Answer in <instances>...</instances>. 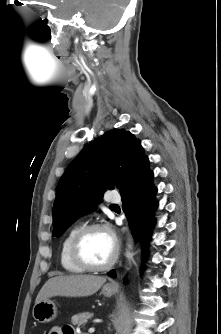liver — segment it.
Wrapping results in <instances>:
<instances>
[{"label": "liver", "mask_w": 221, "mask_h": 334, "mask_svg": "<svg viewBox=\"0 0 221 334\" xmlns=\"http://www.w3.org/2000/svg\"><path fill=\"white\" fill-rule=\"evenodd\" d=\"M105 282V277L93 275L56 276L43 285L35 303L54 296H90L96 293Z\"/></svg>", "instance_id": "1"}]
</instances>
